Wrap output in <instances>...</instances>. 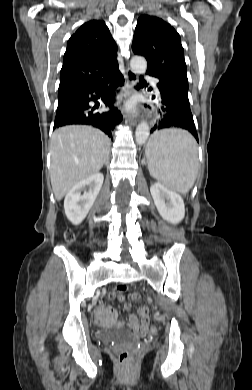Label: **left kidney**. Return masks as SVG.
<instances>
[{
    "instance_id": "obj_1",
    "label": "left kidney",
    "mask_w": 252,
    "mask_h": 390,
    "mask_svg": "<svg viewBox=\"0 0 252 390\" xmlns=\"http://www.w3.org/2000/svg\"><path fill=\"white\" fill-rule=\"evenodd\" d=\"M150 192L155 206L164 220L177 224L184 218V202L177 193L160 183L151 185Z\"/></svg>"
}]
</instances>
